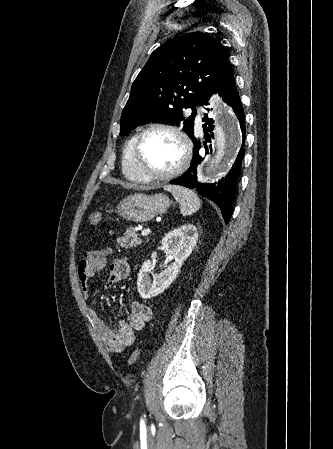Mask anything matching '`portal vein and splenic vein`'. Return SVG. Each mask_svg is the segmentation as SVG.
<instances>
[{
  "label": "portal vein and splenic vein",
  "instance_id": "portal-vein-and-splenic-vein-1",
  "mask_svg": "<svg viewBox=\"0 0 333 449\" xmlns=\"http://www.w3.org/2000/svg\"><path fill=\"white\" fill-rule=\"evenodd\" d=\"M150 232H151L150 229H144V230L141 231V235H142V236H147V235L150 234Z\"/></svg>",
  "mask_w": 333,
  "mask_h": 449
}]
</instances>
